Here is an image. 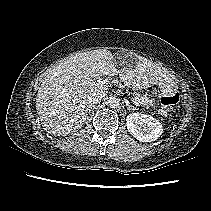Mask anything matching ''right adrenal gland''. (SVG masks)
I'll use <instances>...</instances> for the list:
<instances>
[{
  "label": "right adrenal gland",
  "instance_id": "right-adrenal-gland-1",
  "mask_svg": "<svg viewBox=\"0 0 211 211\" xmlns=\"http://www.w3.org/2000/svg\"><path fill=\"white\" fill-rule=\"evenodd\" d=\"M92 108H94L93 105L87 106V108H86V117H88V115L90 114Z\"/></svg>",
  "mask_w": 211,
  "mask_h": 211
}]
</instances>
